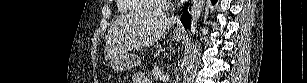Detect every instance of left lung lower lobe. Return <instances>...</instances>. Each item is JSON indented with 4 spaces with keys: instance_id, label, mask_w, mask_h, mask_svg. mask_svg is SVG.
I'll list each match as a JSON object with an SVG mask.
<instances>
[{
    "instance_id": "obj_1",
    "label": "left lung lower lobe",
    "mask_w": 307,
    "mask_h": 83,
    "mask_svg": "<svg viewBox=\"0 0 307 83\" xmlns=\"http://www.w3.org/2000/svg\"><path fill=\"white\" fill-rule=\"evenodd\" d=\"M215 2L216 0H212V3H215ZM181 21L185 25L186 28L190 27L191 20H190V16L187 11H185L183 15L181 16Z\"/></svg>"
}]
</instances>
